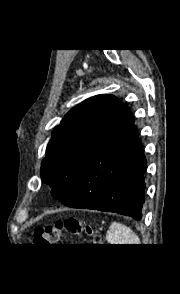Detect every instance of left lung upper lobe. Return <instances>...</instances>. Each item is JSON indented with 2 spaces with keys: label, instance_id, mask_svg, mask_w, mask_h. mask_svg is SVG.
Returning a JSON list of instances; mask_svg holds the SVG:
<instances>
[{
  "label": "left lung upper lobe",
  "instance_id": "obj_1",
  "mask_svg": "<svg viewBox=\"0 0 180 294\" xmlns=\"http://www.w3.org/2000/svg\"><path fill=\"white\" fill-rule=\"evenodd\" d=\"M128 106L113 95H97L72 108L52 132L41 163V179L56 199L74 187L88 161Z\"/></svg>",
  "mask_w": 180,
  "mask_h": 294
}]
</instances>
